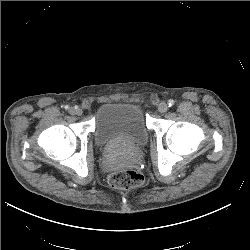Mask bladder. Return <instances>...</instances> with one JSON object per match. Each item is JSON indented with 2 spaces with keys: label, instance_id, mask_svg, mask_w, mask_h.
Listing matches in <instances>:
<instances>
[{
  "label": "bladder",
  "instance_id": "31cf9c89",
  "mask_svg": "<svg viewBox=\"0 0 250 250\" xmlns=\"http://www.w3.org/2000/svg\"><path fill=\"white\" fill-rule=\"evenodd\" d=\"M149 130L141 109L133 103L107 102L95 115L94 140L99 148L128 146L138 148L147 143Z\"/></svg>",
  "mask_w": 250,
  "mask_h": 250
}]
</instances>
